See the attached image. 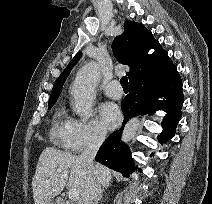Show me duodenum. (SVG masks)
Listing matches in <instances>:
<instances>
[{"label": "duodenum", "instance_id": "obj_1", "mask_svg": "<svg viewBox=\"0 0 212 204\" xmlns=\"http://www.w3.org/2000/svg\"><path fill=\"white\" fill-rule=\"evenodd\" d=\"M60 204H65L64 202H61Z\"/></svg>", "mask_w": 212, "mask_h": 204}]
</instances>
